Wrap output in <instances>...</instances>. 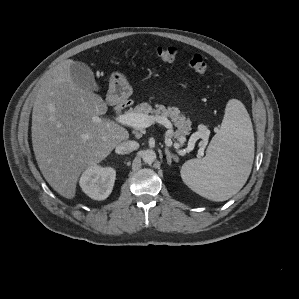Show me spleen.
Returning a JSON list of instances; mask_svg holds the SVG:
<instances>
[{"instance_id":"obj_1","label":"spleen","mask_w":299,"mask_h":299,"mask_svg":"<svg viewBox=\"0 0 299 299\" xmlns=\"http://www.w3.org/2000/svg\"><path fill=\"white\" fill-rule=\"evenodd\" d=\"M254 160V133L249 114L237 99L228 101L220 130L203 159L186 161L181 178L194 192L225 201L246 183Z\"/></svg>"}]
</instances>
